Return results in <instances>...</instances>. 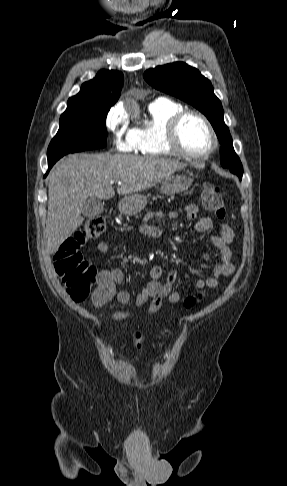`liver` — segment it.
I'll return each instance as SVG.
<instances>
[{"label":"liver","mask_w":287,"mask_h":486,"mask_svg":"<svg viewBox=\"0 0 287 486\" xmlns=\"http://www.w3.org/2000/svg\"><path fill=\"white\" fill-rule=\"evenodd\" d=\"M186 166L165 158L122 154H74L60 160L48 176L46 252L56 253L83 223L82 207L88 197L113 198L112 185L119 180V195L142 191Z\"/></svg>","instance_id":"liver-1"}]
</instances>
